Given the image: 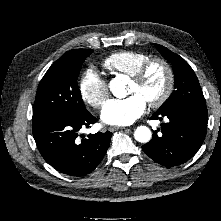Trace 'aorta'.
I'll return each instance as SVG.
<instances>
[{
    "mask_svg": "<svg viewBox=\"0 0 221 221\" xmlns=\"http://www.w3.org/2000/svg\"><path fill=\"white\" fill-rule=\"evenodd\" d=\"M126 84L127 79L123 75H119L110 81L109 87L115 97L123 98L127 94ZM151 136V130L146 126H139L134 132V138L141 143L149 142Z\"/></svg>",
    "mask_w": 221,
    "mask_h": 221,
    "instance_id": "762f6f07",
    "label": "aorta"
}]
</instances>
